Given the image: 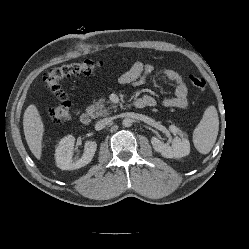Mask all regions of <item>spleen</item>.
<instances>
[{
    "label": "spleen",
    "instance_id": "obj_1",
    "mask_svg": "<svg viewBox=\"0 0 249 249\" xmlns=\"http://www.w3.org/2000/svg\"><path fill=\"white\" fill-rule=\"evenodd\" d=\"M219 131V117L215 106H209L204 111L200 123L193 131V143L202 154H207L214 146Z\"/></svg>",
    "mask_w": 249,
    "mask_h": 249
}]
</instances>
